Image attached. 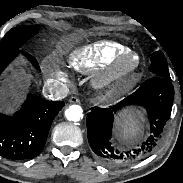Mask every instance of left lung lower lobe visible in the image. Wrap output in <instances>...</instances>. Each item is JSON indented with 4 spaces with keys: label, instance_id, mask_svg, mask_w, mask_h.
Returning a JSON list of instances; mask_svg holds the SVG:
<instances>
[{
    "label": "left lung lower lobe",
    "instance_id": "1",
    "mask_svg": "<svg viewBox=\"0 0 183 183\" xmlns=\"http://www.w3.org/2000/svg\"><path fill=\"white\" fill-rule=\"evenodd\" d=\"M173 99L174 88L170 77L155 76L113 108L93 107L87 115V132L89 144L98 159L105 164H120L152 152L170 117ZM128 105L143 106L146 109L153 135L137 149L120 151L110 142L114 114Z\"/></svg>",
    "mask_w": 183,
    "mask_h": 183
}]
</instances>
